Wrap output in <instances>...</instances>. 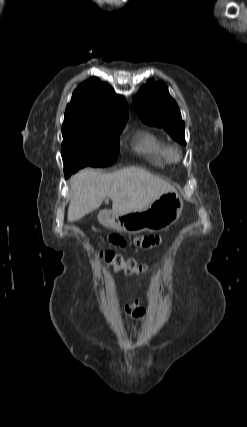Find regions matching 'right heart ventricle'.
I'll return each mask as SVG.
<instances>
[{"label": "right heart ventricle", "instance_id": "obj_1", "mask_svg": "<svg viewBox=\"0 0 247 427\" xmlns=\"http://www.w3.org/2000/svg\"><path fill=\"white\" fill-rule=\"evenodd\" d=\"M135 152L145 157L151 164L162 167L172 161L171 148L155 134L140 132L133 143Z\"/></svg>", "mask_w": 247, "mask_h": 427}]
</instances>
